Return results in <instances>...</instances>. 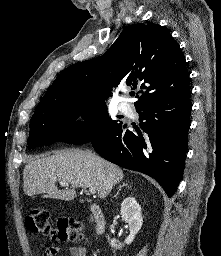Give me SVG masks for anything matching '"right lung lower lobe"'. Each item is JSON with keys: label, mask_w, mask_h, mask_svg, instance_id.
I'll use <instances>...</instances> for the list:
<instances>
[{"label": "right lung lower lobe", "mask_w": 221, "mask_h": 256, "mask_svg": "<svg viewBox=\"0 0 221 256\" xmlns=\"http://www.w3.org/2000/svg\"><path fill=\"white\" fill-rule=\"evenodd\" d=\"M190 97L191 92L158 98L136 109L143 135L116 123L90 142L104 159L149 175L171 197L185 165L192 108Z\"/></svg>", "instance_id": "98d812e1"}]
</instances>
